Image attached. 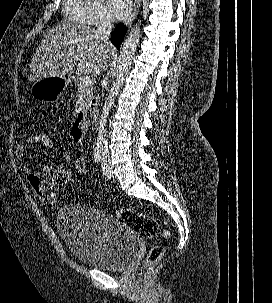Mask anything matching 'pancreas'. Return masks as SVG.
Segmentation results:
<instances>
[{
	"label": "pancreas",
	"mask_w": 272,
	"mask_h": 303,
	"mask_svg": "<svg viewBox=\"0 0 272 303\" xmlns=\"http://www.w3.org/2000/svg\"><path fill=\"white\" fill-rule=\"evenodd\" d=\"M78 94L77 100L78 102L89 103L93 98V85H83L77 82Z\"/></svg>",
	"instance_id": "1"
}]
</instances>
